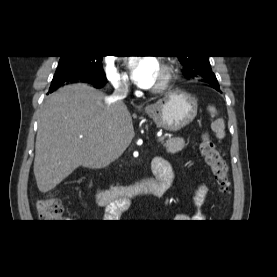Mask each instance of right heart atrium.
<instances>
[{"mask_svg":"<svg viewBox=\"0 0 277 277\" xmlns=\"http://www.w3.org/2000/svg\"><path fill=\"white\" fill-rule=\"evenodd\" d=\"M105 72L107 79L115 88H124L128 85V76L124 72L119 70L115 58H106Z\"/></svg>","mask_w":277,"mask_h":277,"instance_id":"obj_1","label":"right heart atrium"}]
</instances>
